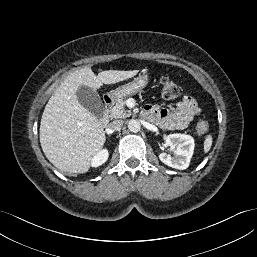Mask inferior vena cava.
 Here are the masks:
<instances>
[{"label":"inferior vena cava","instance_id":"inferior-vena-cava-1","mask_svg":"<svg viewBox=\"0 0 257 257\" xmlns=\"http://www.w3.org/2000/svg\"><path fill=\"white\" fill-rule=\"evenodd\" d=\"M123 125V121L122 120H115L113 122H111L108 127H109V130L114 132L118 129H120Z\"/></svg>","mask_w":257,"mask_h":257}]
</instances>
